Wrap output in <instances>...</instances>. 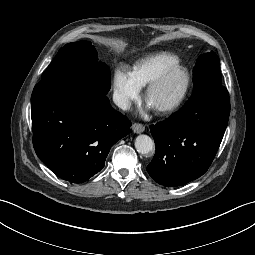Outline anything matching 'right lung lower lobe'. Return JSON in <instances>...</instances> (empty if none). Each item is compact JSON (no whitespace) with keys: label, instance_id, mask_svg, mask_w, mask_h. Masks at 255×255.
I'll return each mask as SVG.
<instances>
[{"label":"right lung lower lobe","instance_id":"1","mask_svg":"<svg viewBox=\"0 0 255 255\" xmlns=\"http://www.w3.org/2000/svg\"><path fill=\"white\" fill-rule=\"evenodd\" d=\"M33 145L58 177L82 183L105 165L110 148L130 133V121L106 94L74 80H41L32 92Z\"/></svg>","mask_w":255,"mask_h":255}]
</instances>
